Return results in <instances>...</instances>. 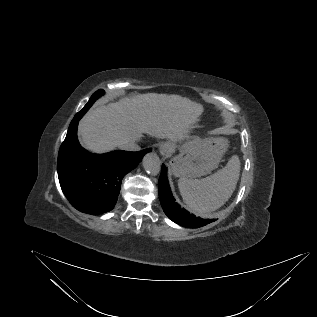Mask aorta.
Listing matches in <instances>:
<instances>
[{
	"label": "aorta",
	"instance_id": "obj_1",
	"mask_svg": "<svg viewBox=\"0 0 317 317\" xmlns=\"http://www.w3.org/2000/svg\"><path fill=\"white\" fill-rule=\"evenodd\" d=\"M142 165L144 170L150 175L156 176L160 173L161 161L156 153H147L142 160Z\"/></svg>",
	"mask_w": 317,
	"mask_h": 317
}]
</instances>
